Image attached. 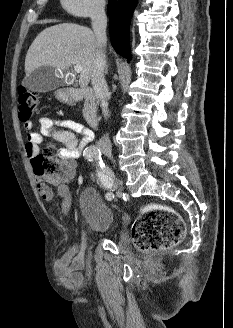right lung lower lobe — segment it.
<instances>
[{
    "mask_svg": "<svg viewBox=\"0 0 233 328\" xmlns=\"http://www.w3.org/2000/svg\"><path fill=\"white\" fill-rule=\"evenodd\" d=\"M138 0H111L108 5L110 16V38L118 54L130 61L129 25Z\"/></svg>",
    "mask_w": 233,
    "mask_h": 328,
    "instance_id": "1",
    "label": "right lung lower lobe"
}]
</instances>
